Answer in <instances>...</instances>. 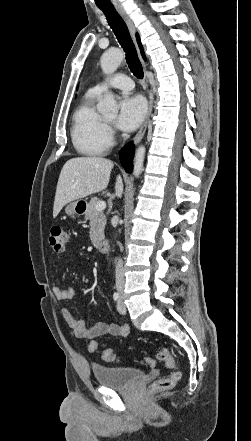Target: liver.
Segmentation results:
<instances>
[{"instance_id":"1","label":"liver","mask_w":251,"mask_h":441,"mask_svg":"<svg viewBox=\"0 0 251 441\" xmlns=\"http://www.w3.org/2000/svg\"><path fill=\"white\" fill-rule=\"evenodd\" d=\"M113 162L103 157L88 156L69 159L63 166L56 188L53 217L69 202L100 192L108 186ZM115 193H123V182L119 175Z\"/></svg>"}]
</instances>
